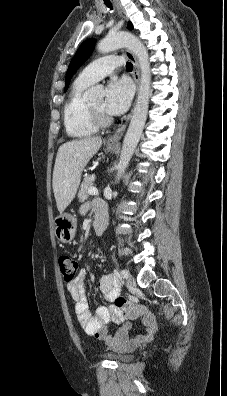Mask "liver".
Returning a JSON list of instances; mask_svg holds the SVG:
<instances>
[{
  "mask_svg": "<svg viewBox=\"0 0 227 396\" xmlns=\"http://www.w3.org/2000/svg\"><path fill=\"white\" fill-rule=\"evenodd\" d=\"M102 139L89 137L62 144L53 170V192L57 209L62 213L74 199L84 167L100 149Z\"/></svg>",
  "mask_w": 227,
  "mask_h": 396,
  "instance_id": "6515ba94",
  "label": "liver"
}]
</instances>
